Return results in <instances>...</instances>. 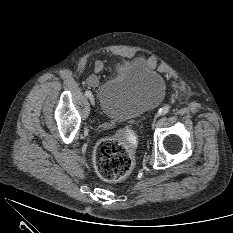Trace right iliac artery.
Instances as JSON below:
<instances>
[{"instance_id": "obj_1", "label": "right iliac artery", "mask_w": 233, "mask_h": 233, "mask_svg": "<svg viewBox=\"0 0 233 233\" xmlns=\"http://www.w3.org/2000/svg\"><path fill=\"white\" fill-rule=\"evenodd\" d=\"M85 96L90 97V96H91V91L87 90V91L85 92Z\"/></svg>"}]
</instances>
